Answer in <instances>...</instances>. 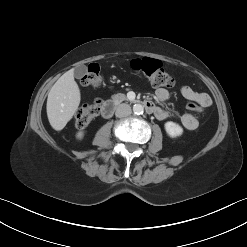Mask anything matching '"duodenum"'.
<instances>
[{"mask_svg":"<svg viewBox=\"0 0 247 247\" xmlns=\"http://www.w3.org/2000/svg\"><path fill=\"white\" fill-rule=\"evenodd\" d=\"M116 102L112 101V100H108L106 102H104V104L102 105L101 108V114L104 118H109L113 115L115 109H116ZM144 106L146 108L147 111L149 112H155L156 110V106L150 102V101H145L144 102Z\"/></svg>","mask_w":247,"mask_h":247,"instance_id":"duodenum-1","label":"duodenum"}]
</instances>
